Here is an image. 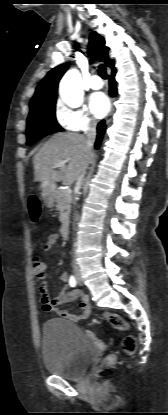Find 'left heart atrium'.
<instances>
[{
    "mask_svg": "<svg viewBox=\"0 0 168 415\" xmlns=\"http://www.w3.org/2000/svg\"><path fill=\"white\" fill-rule=\"evenodd\" d=\"M90 109L96 118H103L110 109L108 98L103 93H95L90 98Z\"/></svg>",
    "mask_w": 168,
    "mask_h": 415,
    "instance_id": "obj_1",
    "label": "left heart atrium"
}]
</instances>
